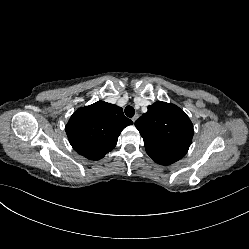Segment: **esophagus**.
<instances>
[{
  "label": "esophagus",
  "instance_id": "obj_1",
  "mask_svg": "<svg viewBox=\"0 0 249 249\" xmlns=\"http://www.w3.org/2000/svg\"><path fill=\"white\" fill-rule=\"evenodd\" d=\"M138 116H139L138 114L135 115V116L132 118V121L135 122V121L137 120Z\"/></svg>",
  "mask_w": 249,
  "mask_h": 249
}]
</instances>
